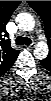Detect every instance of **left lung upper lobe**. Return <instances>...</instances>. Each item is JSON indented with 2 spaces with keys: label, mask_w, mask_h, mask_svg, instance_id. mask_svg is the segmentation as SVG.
<instances>
[{
  "label": "left lung upper lobe",
  "mask_w": 51,
  "mask_h": 101,
  "mask_svg": "<svg viewBox=\"0 0 51 101\" xmlns=\"http://www.w3.org/2000/svg\"><path fill=\"white\" fill-rule=\"evenodd\" d=\"M30 7L38 13L44 22L45 34L51 35V2L50 1H28ZM49 57V56H48Z\"/></svg>",
  "instance_id": "obj_1"
}]
</instances>
